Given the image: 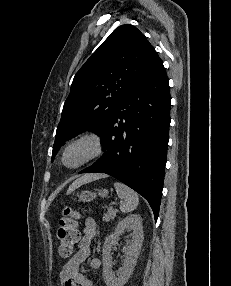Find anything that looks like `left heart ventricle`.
Masks as SVG:
<instances>
[{
  "instance_id": "left-heart-ventricle-1",
  "label": "left heart ventricle",
  "mask_w": 231,
  "mask_h": 286,
  "mask_svg": "<svg viewBox=\"0 0 231 286\" xmlns=\"http://www.w3.org/2000/svg\"><path fill=\"white\" fill-rule=\"evenodd\" d=\"M89 150L88 145H77L73 147L66 155V164L69 166L77 164L88 154Z\"/></svg>"
}]
</instances>
